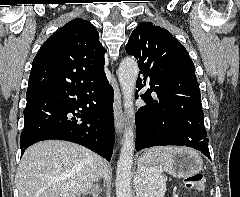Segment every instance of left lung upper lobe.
Returning a JSON list of instances; mask_svg holds the SVG:
<instances>
[{"label":"left lung upper lobe","instance_id":"1","mask_svg":"<svg viewBox=\"0 0 240 197\" xmlns=\"http://www.w3.org/2000/svg\"><path fill=\"white\" fill-rule=\"evenodd\" d=\"M126 52L138 60L150 88L171 92L182 88L199 90L194 64L186 49L170 32L150 22L140 23L131 33Z\"/></svg>","mask_w":240,"mask_h":197}]
</instances>
